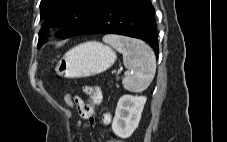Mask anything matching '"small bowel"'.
Here are the masks:
<instances>
[{
    "label": "small bowel",
    "mask_w": 227,
    "mask_h": 142,
    "mask_svg": "<svg viewBox=\"0 0 227 142\" xmlns=\"http://www.w3.org/2000/svg\"><path fill=\"white\" fill-rule=\"evenodd\" d=\"M83 91L86 95L90 97L88 103H84V101L78 97H74V104L77 108L79 116L81 119L88 120L91 125L96 124L95 119V107L101 102L102 100V92L100 88L96 86H85ZM100 121L103 125H109L111 123V115L108 112H104L101 114ZM80 121L77 123L79 124ZM106 142H124L120 139H110Z\"/></svg>",
    "instance_id": "obj_1"
}]
</instances>
